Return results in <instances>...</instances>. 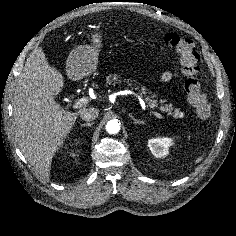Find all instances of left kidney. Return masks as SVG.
Here are the masks:
<instances>
[{
	"instance_id": "5707ae66",
	"label": "left kidney",
	"mask_w": 236,
	"mask_h": 236,
	"mask_svg": "<svg viewBox=\"0 0 236 236\" xmlns=\"http://www.w3.org/2000/svg\"><path fill=\"white\" fill-rule=\"evenodd\" d=\"M172 143L173 139L171 138H152L148 140V147L156 158H162L169 153L168 149Z\"/></svg>"
}]
</instances>
